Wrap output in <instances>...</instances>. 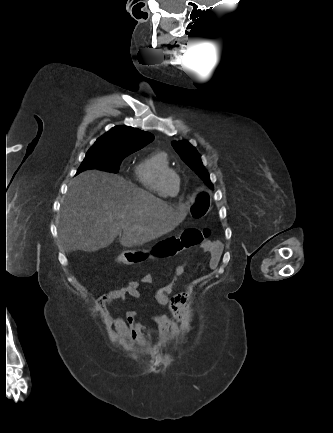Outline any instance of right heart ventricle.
<instances>
[{
	"label": "right heart ventricle",
	"instance_id": "e07e8e85",
	"mask_svg": "<svg viewBox=\"0 0 333 433\" xmlns=\"http://www.w3.org/2000/svg\"><path fill=\"white\" fill-rule=\"evenodd\" d=\"M170 160L163 151H155L148 157L141 159L135 166L134 173L137 182L147 191L160 196L168 197L160 182L162 173L170 169ZM180 192V179L177 181V188L170 197H175Z\"/></svg>",
	"mask_w": 333,
	"mask_h": 433
}]
</instances>
